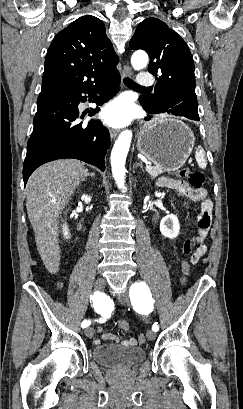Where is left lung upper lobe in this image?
I'll use <instances>...</instances> for the list:
<instances>
[{"mask_svg": "<svg viewBox=\"0 0 243 409\" xmlns=\"http://www.w3.org/2000/svg\"><path fill=\"white\" fill-rule=\"evenodd\" d=\"M130 48L143 49L150 56L148 71L155 75V94L142 96L150 107L171 101L198 107L194 62L185 41L157 18L142 21L130 41Z\"/></svg>", "mask_w": 243, "mask_h": 409, "instance_id": "1", "label": "left lung upper lobe"}]
</instances>
